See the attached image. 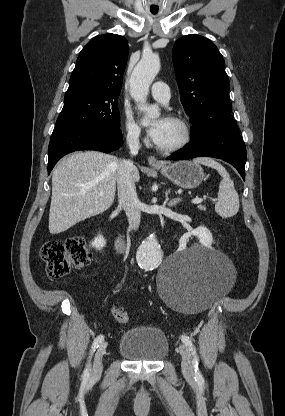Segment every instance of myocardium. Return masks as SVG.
I'll use <instances>...</instances> for the list:
<instances>
[{
	"mask_svg": "<svg viewBox=\"0 0 285 416\" xmlns=\"http://www.w3.org/2000/svg\"><path fill=\"white\" fill-rule=\"evenodd\" d=\"M169 120L179 129L180 138L176 143H174L171 146H158V150L166 154L176 153L184 149L189 144L191 139L190 127L185 120L177 116H170Z\"/></svg>",
	"mask_w": 285,
	"mask_h": 416,
	"instance_id": "f54148a6",
	"label": "myocardium"
}]
</instances>
